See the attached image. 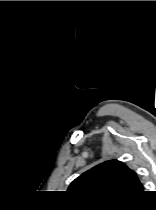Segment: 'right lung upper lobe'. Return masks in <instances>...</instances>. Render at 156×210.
Returning <instances> with one entry per match:
<instances>
[{
    "mask_svg": "<svg viewBox=\"0 0 156 210\" xmlns=\"http://www.w3.org/2000/svg\"><path fill=\"white\" fill-rule=\"evenodd\" d=\"M68 191L83 198L128 200L142 194L143 185L124 163L109 160L77 177Z\"/></svg>",
    "mask_w": 156,
    "mask_h": 210,
    "instance_id": "1",
    "label": "right lung upper lobe"
}]
</instances>
